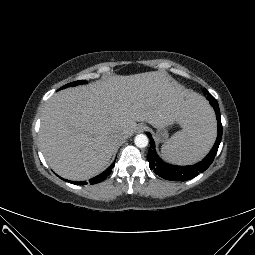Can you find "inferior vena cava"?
<instances>
[{
    "label": "inferior vena cava",
    "mask_w": 255,
    "mask_h": 255,
    "mask_svg": "<svg viewBox=\"0 0 255 255\" xmlns=\"http://www.w3.org/2000/svg\"><path fill=\"white\" fill-rule=\"evenodd\" d=\"M114 137H115L117 140L123 139V135H122V133H120V132H117V133L114 135Z\"/></svg>",
    "instance_id": "602c4592"
}]
</instances>
